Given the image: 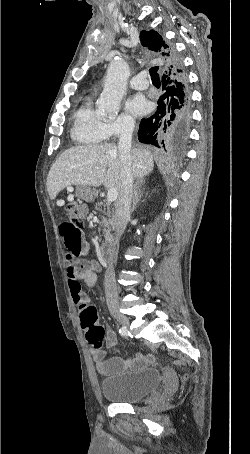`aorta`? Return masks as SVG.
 Segmentation results:
<instances>
[{
  "label": "aorta",
  "instance_id": "aorta-1",
  "mask_svg": "<svg viewBox=\"0 0 250 454\" xmlns=\"http://www.w3.org/2000/svg\"><path fill=\"white\" fill-rule=\"evenodd\" d=\"M130 76L128 64L122 59L113 60L107 69L104 88L97 101L101 115L115 117L126 93V84Z\"/></svg>",
  "mask_w": 250,
  "mask_h": 454
}]
</instances>
